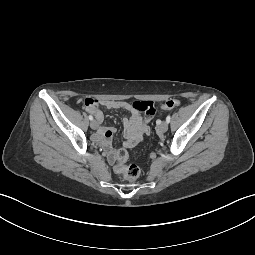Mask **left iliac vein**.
Listing matches in <instances>:
<instances>
[{
  "mask_svg": "<svg viewBox=\"0 0 255 255\" xmlns=\"http://www.w3.org/2000/svg\"><path fill=\"white\" fill-rule=\"evenodd\" d=\"M161 132L165 133L168 130V123L167 121H163L159 128H158Z\"/></svg>",
  "mask_w": 255,
  "mask_h": 255,
  "instance_id": "obj_1",
  "label": "left iliac vein"
}]
</instances>
